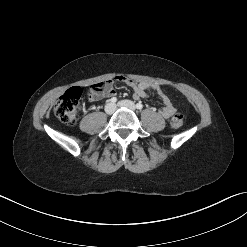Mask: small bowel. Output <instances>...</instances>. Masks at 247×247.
Wrapping results in <instances>:
<instances>
[{"mask_svg":"<svg viewBox=\"0 0 247 247\" xmlns=\"http://www.w3.org/2000/svg\"><path fill=\"white\" fill-rule=\"evenodd\" d=\"M114 82H121L126 84L128 87L132 88L134 91V97L136 99L146 98L147 90L155 91L163 102V106L159 111L160 115L165 119H169L175 114L176 110L171 99L164 93V91L159 85L147 82H137L131 78H127L124 76H118L114 80H109L107 87L102 92L91 95L90 100L99 101L104 97L115 96L116 91L114 89Z\"/></svg>","mask_w":247,"mask_h":247,"instance_id":"1","label":"small bowel"}]
</instances>
